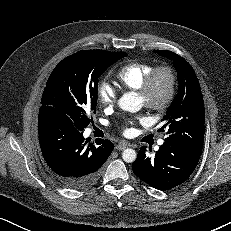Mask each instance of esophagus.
I'll use <instances>...</instances> for the list:
<instances>
[{
    "mask_svg": "<svg viewBox=\"0 0 231 231\" xmlns=\"http://www.w3.org/2000/svg\"><path fill=\"white\" fill-rule=\"evenodd\" d=\"M127 147H128V144L126 142H119L116 145V149L119 151H122V150L126 149Z\"/></svg>",
    "mask_w": 231,
    "mask_h": 231,
    "instance_id": "1",
    "label": "esophagus"
}]
</instances>
